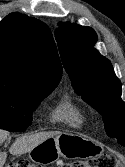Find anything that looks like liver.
Masks as SVG:
<instances>
[{
    "label": "liver",
    "mask_w": 125,
    "mask_h": 167,
    "mask_svg": "<svg viewBox=\"0 0 125 167\" xmlns=\"http://www.w3.org/2000/svg\"><path fill=\"white\" fill-rule=\"evenodd\" d=\"M61 132L50 131V132H39L31 135H24L15 140L11 145L9 152L12 155H21L31 151L35 146L45 141L48 138L58 136ZM9 133L5 130H0V144H2ZM7 158L6 152H0V167H3Z\"/></svg>",
    "instance_id": "liver-1"
}]
</instances>
